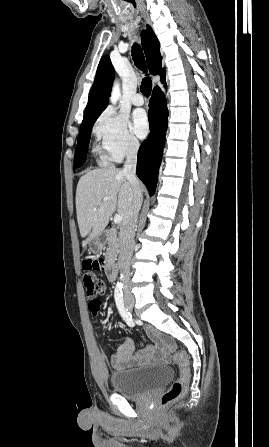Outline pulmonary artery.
<instances>
[{"label":"pulmonary artery","instance_id":"pulmonary-artery-1","mask_svg":"<svg viewBox=\"0 0 269 447\" xmlns=\"http://www.w3.org/2000/svg\"><path fill=\"white\" fill-rule=\"evenodd\" d=\"M131 102L135 106H141L145 103V99L142 94L136 93L132 96Z\"/></svg>","mask_w":269,"mask_h":447}]
</instances>
